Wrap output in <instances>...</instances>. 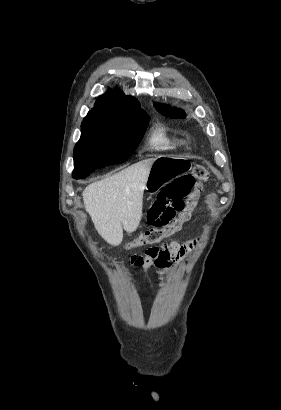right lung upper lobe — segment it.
<instances>
[{"label":"right lung upper lobe","instance_id":"1","mask_svg":"<svg viewBox=\"0 0 281 410\" xmlns=\"http://www.w3.org/2000/svg\"><path fill=\"white\" fill-rule=\"evenodd\" d=\"M88 115L113 121H130L147 116L134 97L126 96L118 89L108 90L104 95L99 96L94 104V110Z\"/></svg>","mask_w":281,"mask_h":410}]
</instances>
